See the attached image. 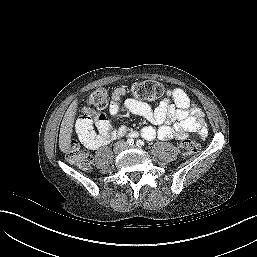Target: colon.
<instances>
[{
  "label": "colon",
  "instance_id": "colon-1",
  "mask_svg": "<svg viewBox=\"0 0 257 257\" xmlns=\"http://www.w3.org/2000/svg\"><path fill=\"white\" fill-rule=\"evenodd\" d=\"M133 95L142 100L153 101L163 95V86L155 81H141L132 85ZM109 92L106 88L96 89L88 98L89 107L86 109L90 114H96V110L104 109L108 105ZM199 149L198 143L193 139L184 140L179 151L182 157H189ZM67 158L70 163L80 168L86 169L90 166V155L83 150L79 144L72 140L68 147Z\"/></svg>",
  "mask_w": 257,
  "mask_h": 257
}]
</instances>
